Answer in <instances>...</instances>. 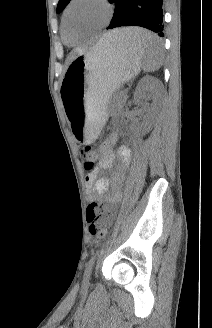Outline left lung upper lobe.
<instances>
[{"label":"left lung upper lobe","instance_id":"1","mask_svg":"<svg viewBox=\"0 0 212 328\" xmlns=\"http://www.w3.org/2000/svg\"><path fill=\"white\" fill-rule=\"evenodd\" d=\"M69 2H70V0H59L58 5H57L56 12L57 13H60L66 7V5Z\"/></svg>","mask_w":212,"mask_h":328}]
</instances>
